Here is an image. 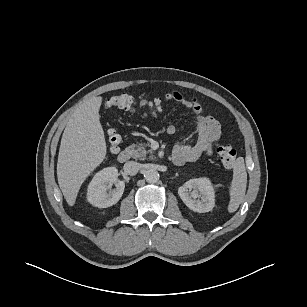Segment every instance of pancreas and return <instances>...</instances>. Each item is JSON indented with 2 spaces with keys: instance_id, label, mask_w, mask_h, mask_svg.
Masks as SVG:
<instances>
[{
  "instance_id": "pancreas-1",
  "label": "pancreas",
  "mask_w": 307,
  "mask_h": 307,
  "mask_svg": "<svg viewBox=\"0 0 307 307\" xmlns=\"http://www.w3.org/2000/svg\"><path fill=\"white\" fill-rule=\"evenodd\" d=\"M147 145L144 143L141 144H133L129 148L132 152V156L134 159L139 160H152L154 158L152 150H146ZM149 155V156H148Z\"/></svg>"
}]
</instances>
